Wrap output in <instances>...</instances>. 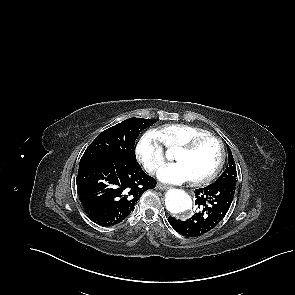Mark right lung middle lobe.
<instances>
[{
	"mask_svg": "<svg viewBox=\"0 0 295 295\" xmlns=\"http://www.w3.org/2000/svg\"><path fill=\"white\" fill-rule=\"evenodd\" d=\"M156 121L144 118H129L106 129L87 147L80 164L110 159L116 156L136 160L134 152L136 138L142 130L153 125Z\"/></svg>",
	"mask_w": 295,
	"mask_h": 295,
	"instance_id": "dd1d6c3e",
	"label": "right lung middle lobe"
}]
</instances>
